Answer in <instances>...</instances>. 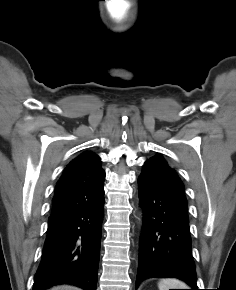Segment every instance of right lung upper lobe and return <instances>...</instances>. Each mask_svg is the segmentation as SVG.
Instances as JSON below:
<instances>
[{"mask_svg": "<svg viewBox=\"0 0 236 290\" xmlns=\"http://www.w3.org/2000/svg\"><path fill=\"white\" fill-rule=\"evenodd\" d=\"M100 163V157L89 151L69 163L56 184L48 223L103 197L105 172Z\"/></svg>", "mask_w": 236, "mask_h": 290, "instance_id": "cb5924a9", "label": "right lung upper lobe"}]
</instances>
